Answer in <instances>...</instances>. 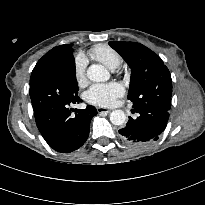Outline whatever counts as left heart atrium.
<instances>
[{
    "label": "left heart atrium",
    "mask_w": 205,
    "mask_h": 205,
    "mask_svg": "<svg viewBox=\"0 0 205 205\" xmlns=\"http://www.w3.org/2000/svg\"><path fill=\"white\" fill-rule=\"evenodd\" d=\"M123 93V87L116 82L94 84L85 93V98L91 104L101 107H111L116 104L117 99Z\"/></svg>",
    "instance_id": "left-heart-atrium-1"
}]
</instances>
